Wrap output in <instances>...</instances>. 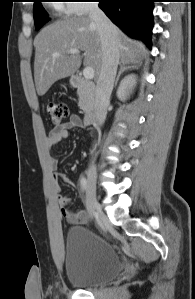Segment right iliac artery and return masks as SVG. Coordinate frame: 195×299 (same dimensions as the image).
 I'll list each match as a JSON object with an SVG mask.
<instances>
[{
    "label": "right iliac artery",
    "mask_w": 195,
    "mask_h": 299,
    "mask_svg": "<svg viewBox=\"0 0 195 299\" xmlns=\"http://www.w3.org/2000/svg\"><path fill=\"white\" fill-rule=\"evenodd\" d=\"M80 185H81L82 190L85 191L87 188V180L85 177H82L80 179Z\"/></svg>",
    "instance_id": "right-iliac-artery-1"
}]
</instances>
